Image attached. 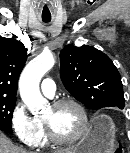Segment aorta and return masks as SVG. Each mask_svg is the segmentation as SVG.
<instances>
[{
	"label": "aorta",
	"instance_id": "aorta-1",
	"mask_svg": "<svg viewBox=\"0 0 130 153\" xmlns=\"http://www.w3.org/2000/svg\"><path fill=\"white\" fill-rule=\"evenodd\" d=\"M54 63L52 53L43 52L26 65L20 76V95L33 115L40 114L48 108V101L42 96L39 83Z\"/></svg>",
	"mask_w": 130,
	"mask_h": 153
}]
</instances>
